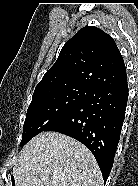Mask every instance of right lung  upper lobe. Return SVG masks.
<instances>
[{
    "instance_id": "obj_1",
    "label": "right lung upper lobe",
    "mask_w": 138,
    "mask_h": 186,
    "mask_svg": "<svg viewBox=\"0 0 138 186\" xmlns=\"http://www.w3.org/2000/svg\"><path fill=\"white\" fill-rule=\"evenodd\" d=\"M126 82L124 61L113 38L97 27L85 26L63 46L34 93L70 85L98 88Z\"/></svg>"
}]
</instances>
